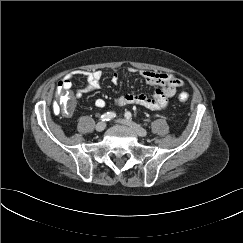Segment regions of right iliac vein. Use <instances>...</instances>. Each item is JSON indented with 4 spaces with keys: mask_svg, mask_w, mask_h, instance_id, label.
Returning <instances> with one entry per match:
<instances>
[{
    "mask_svg": "<svg viewBox=\"0 0 243 243\" xmlns=\"http://www.w3.org/2000/svg\"><path fill=\"white\" fill-rule=\"evenodd\" d=\"M105 128H106V123H105V122H99V123H97V125H96V130H97L98 132H102V131H104Z\"/></svg>",
    "mask_w": 243,
    "mask_h": 243,
    "instance_id": "obj_1",
    "label": "right iliac vein"
}]
</instances>
